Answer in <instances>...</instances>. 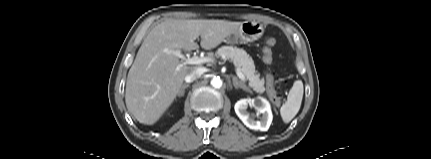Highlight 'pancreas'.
Returning a JSON list of instances; mask_svg holds the SVG:
<instances>
[{
    "label": "pancreas",
    "mask_w": 431,
    "mask_h": 159,
    "mask_svg": "<svg viewBox=\"0 0 431 159\" xmlns=\"http://www.w3.org/2000/svg\"><path fill=\"white\" fill-rule=\"evenodd\" d=\"M216 55L224 59H230L236 63V65L241 69V72L249 81V87L259 94L267 91L270 99L275 98V91L272 87L265 88V80L260 79V75L255 71V65L253 59L247 54L244 49L232 47V46H222L220 47Z\"/></svg>",
    "instance_id": "pancreas-1"
}]
</instances>
